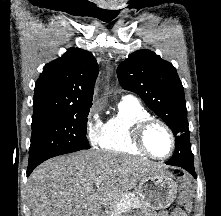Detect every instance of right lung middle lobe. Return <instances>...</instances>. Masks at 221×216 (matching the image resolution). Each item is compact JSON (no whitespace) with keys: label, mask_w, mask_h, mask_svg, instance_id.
<instances>
[{"label":"right lung middle lobe","mask_w":221,"mask_h":216,"mask_svg":"<svg viewBox=\"0 0 221 216\" xmlns=\"http://www.w3.org/2000/svg\"><path fill=\"white\" fill-rule=\"evenodd\" d=\"M88 109L32 122L29 165L40 164L54 156L89 149L86 140Z\"/></svg>","instance_id":"1"}]
</instances>
